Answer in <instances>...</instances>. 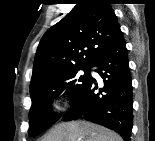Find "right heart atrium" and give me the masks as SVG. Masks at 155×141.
Listing matches in <instances>:
<instances>
[{
    "instance_id": "right-heart-atrium-1",
    "label": "right heart atrium",
    "mask_w": 155,
    "mask_h": 141,
    "mask_svg": "<svg viewBox=\"0 0 155 141\" xmlns=\"http://www.w3.org/2000/svg\"><path fill=\"white\" fill-rule=\"evenodd\" d=\"M61 96H56L52 101V107L54 109H60Z\"/></svg>"
}]
</instances>
